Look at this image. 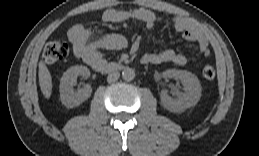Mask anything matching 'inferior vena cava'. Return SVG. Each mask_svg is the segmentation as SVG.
<instances>
[{"label": "inferior vena cava", "mask_w": 259, "mask_h": 156, "mask_svg": "<svg viewBox=\"0 0 259 156\" xmlns=\"http://www.w3.org/2000/svg\"><path fill=\"white\" fill-rule=\"evenodd\" d=\"M119 77H120L119 72H118V71H113V72H111V73L108 75L107 81H108L109 83L115 82V81H117V80L119 79Z\"/></svg>", "instance_id": "602c4592"}]
</instances>
